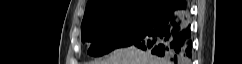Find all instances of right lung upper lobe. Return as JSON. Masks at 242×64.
I'll list each match as a JSON object with an SVG mask.
<instances>
[{"label": "right lung upper lobe", "mask_w": 242, "mask_h": 64, "mask_svg": "<svg viewBox=\"0 0 242 64\" xmlns=\"http://www.w3.org/2000/svg\"><path fill=\"white\" fill-rule=\"evenodd\" d=\"M172 0H88L82 24L106 14L133 9L164 11Z\"/></svg>", "instance_id": "obj_1"}]
</instances>
